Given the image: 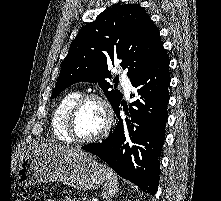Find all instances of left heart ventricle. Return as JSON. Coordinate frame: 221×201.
Listing matches in <instances>:
<instances>
[{
    "label": "left heart ventricle",
    "mask_w": 221,
    "mask_h": 201,
    "mask_svg": "<svg viewBox=\"0 0 221 201\" xmlns=\"http://www.w3.org/2000/svg\"><path fill=\"white\" fill-rule=\"evenodd\" d=\"M105 125V112L96 100L87 101L79 110L74 131L80 138H90L101 132Z\"/></svg>",
    "instance_id": "1"
}]
</instances>
